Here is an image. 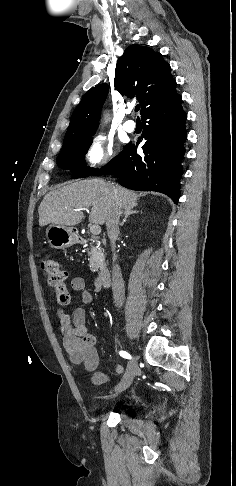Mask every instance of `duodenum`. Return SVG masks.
<instances>
[{
  "mask_svg": "<svg viewBox=\"0 0 236 486\" xmlns=\"http://www.w3.org/2000/svg\"><path fill=\"white\" fill-rule=\"evenodd\" d=\"M82 241L86 242L85 239H82ZM109 281H110V270L106 267L101 268L96 277L97 285L105 288L108 286Z\"/></svg>",
  "mask_w": 236,
  "mask_h": 486,
  "instance_id": "410a0bca",
  "label": "duodenum"
}]
</instances>
